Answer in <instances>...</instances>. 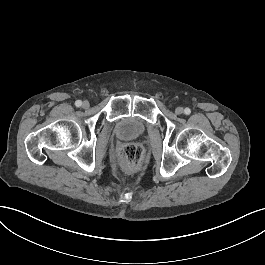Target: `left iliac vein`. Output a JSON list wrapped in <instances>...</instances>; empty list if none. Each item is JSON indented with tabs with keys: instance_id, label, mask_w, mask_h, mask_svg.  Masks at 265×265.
Returning <instances> with one entry per match:
<instances>
[{
	"instance_id": "1",
	"label": "left iliac vein",
	"mask_w": 265,
	"mask_h": 265,
	"mask_svg": "<svg viewBox=\"0 0 265 265\" xmlns=\"http://www.w3.org/2000/svg\"><path fill=\"white\" fill-rule=\"evenodd\" d=\"M183 108L182 107H177L176 109H175V113L177 114V115H180V114H182L183 113Z\"/></svg>"
}]
</instances>
